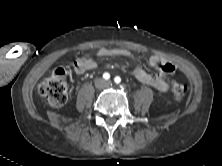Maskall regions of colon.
<instances>
[{"instance_id": "obj_1", "label": "colon", "mask_w": 222, "mask_h": 166, "mask_svg": "<svg viewBox=\"0 0 222 166\" xmlns=\"http://www.w3.org/2000/svg\"><path fill=\"white\" fill-rule=\"evenodd\" d=\"M170 89L173 97L180 100L186 95L188 87L182 81L174 80ZM38 90L51 106L64 105L68 97V79L65 69L61 67L55 69L51 75L40 82Z\"/></svg>"}]
</instances>
